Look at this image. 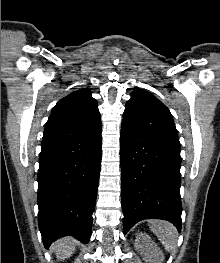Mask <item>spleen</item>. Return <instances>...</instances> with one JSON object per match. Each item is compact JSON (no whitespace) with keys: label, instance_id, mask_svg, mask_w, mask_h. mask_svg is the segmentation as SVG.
<instances>
[{"label":"spleen","instance_id":"obj_1","mask_svg":"<svg viewBox=\"0 0 220 263\" xmlns=\"http://www.w3.org/2000/svg\"><path fill=\"white\" fill-rule=\"evenodd\" d=\"M149 227L168 252L176 250L178 233L173 224L162 220H153L150 221Z\"/></svg>","mask_w":220,"mask_h":263}]
</instances>
